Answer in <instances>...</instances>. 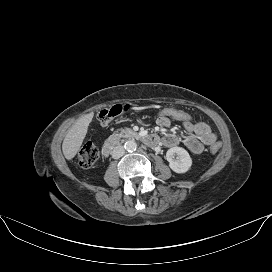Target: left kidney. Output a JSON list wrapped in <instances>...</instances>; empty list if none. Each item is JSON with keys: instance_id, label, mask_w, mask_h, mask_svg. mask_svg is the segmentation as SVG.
Returning <instances> with one entry per match:
<instances>
[{"instance_id": "left-kidney-1", "label": "left kidney", "mask_w": 272, "mask_h": 272, "mask_svg": "<svg viewBox=\"0 0 272 272\" xmlns=\"http://www.w3.org/2000/svg\"><path fill=\"white\" fill-rule=\"evenodd\" d=\"M166 159L169 167L176 173H186L192 165L189 153L181 147L170 148L166 153Z\"/></svg>"}]
</instances>
